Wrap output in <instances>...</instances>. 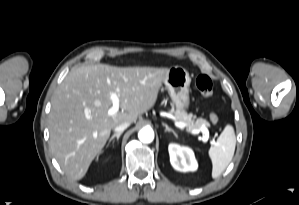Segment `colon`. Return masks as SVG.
<instances>
[{"instance_id":"colon-1","label":"colon","mask_w":299,"mask_h":205,"mask_svg":"<svg viewBox=\"0 0 299 205\" xmlns=\"http://www.w3.org/2000/svg\"><path fill=\"white\" fill-rule=\"evenodd\" d=\"M195 86L203 97H209L213 93V82L207 75H199L195 80ZM210 120L216 124L218 116L215 113H211Z\"/></svg>"}]
</instances>
